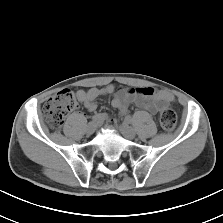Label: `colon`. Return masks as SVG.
<instances>
[{"label": "colon", "mask_w": 223, "mask_h": 223, "mask_svg": "<svg viewBox=\"0 0 223 223\" xmlns=\"http://www.w3.org/2000/svg\"><path fill=\"white\" fill-rule=\"evenodd\" d=\"M77 107V100L72 91L64 89L52 96L43 106V117L53 129H59L66 115ZM159 121L166 132H171L177 122L173 109L165 108L160 112Z\"/></svg>", "instance_id": "5ec220e1"}]
</instances>
